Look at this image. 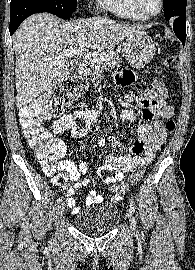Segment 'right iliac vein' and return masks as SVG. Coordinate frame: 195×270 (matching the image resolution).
<instances>
[{"label": "right iliac vein", "mask_w": 195, "mask_h": 270, "mask_svg": "<svg viewBox=\"0 0 195 270\" xmlns=\"http://www.w3.org/2000/svg\"><path fill=\"white\" fill-rule=\"evenodd\" d=\"M63 214H64V203L58 206V210H57L58 219H61Z\"/></svg>", "instance_id": "right-iliac-vein-1"}]
</instances>
